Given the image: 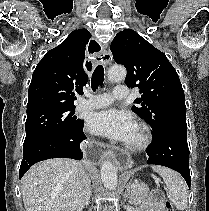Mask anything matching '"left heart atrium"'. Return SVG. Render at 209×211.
I'll list each match as a JSON object with an SVG mask.
<instances>
[{
    "instance_id": "1",
    "label": "left heart atrium",
    "mask_w": 209,
    "mask_h": 211,
    "mask_svg": "<svg viewBox=\"0 0 209 211\" xmlns=\"http://www.w3.org/2000/svg\"><path fill=\"white\" fill-rule=\"evenodd\" d=\"M87 126L94 134L121 142H128L136 130L132 115L114 108L92 113Z\"/></svg>"
}]
</instances>
